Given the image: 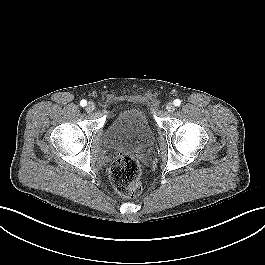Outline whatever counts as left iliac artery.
Listing matches in <instances>:
<instances>
[{"mask_svg":"<svg viewBox=\"0 0 265 265\" xmlns=\"http://www.w3.org/2000/svg\"><path fill=\"white\" fill-rule=\"evenodd\" d=\"M173 103L175 106H180L181 101L179 99H175Z\"/></svg>","mask_w":265,"mask_h":265,"instance_id":"obj_1","label":"left iliac artery"}]
</instances>
